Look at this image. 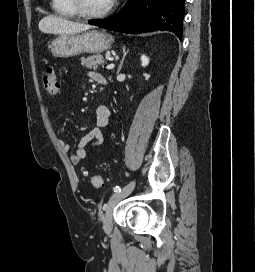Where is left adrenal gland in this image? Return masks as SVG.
Masks as SVG:
<instances>
[{"mask_svg":"<svg viewBox=\"0 0 255 272\" xmlns=\"http://www.w3.org/2000/svg\"><path fill=\"white\" fill-rule=\"evenodd\" d=\"M122 52H123V58H122V60H121V62H120V65H119V67H118L117 74L120 73V70H121V68H122L124 59H125L126 55L128 54V50H126V47H125V46L122 47Z\"/></svg>","mask_w":255,"mask_h":272,"instance_id":"a2214340","label":"left adrenal gland"}]
</instances>
